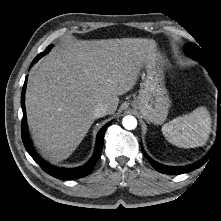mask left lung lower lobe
Segmentation results:
<instances>
[{"label":"left lung lower lobe","mask_w":221,"mask_h":221,"mask_svg":"<svg viewBox=\"0 0 221 221\" xmlns=\"http://www.w3.org/2000/svg\"><path fill=\"white\" fill-rule=\"evenodd\" d=\"M205 68L208 70V72L212 75V77H214V73L212 72V69L211 67L208 65V63L203 60L201 62ZM215 80V78H214ZM216 81H217V78H216ZM217 84H218V81H217ZM218 88H219V84H218ZM219 95L220 97H218V138L221 137V108H220V104H221V92H220V89H219ZM144 155L146 156V158L148 159V161L150 162V164L160 173H164V174H183V173H187V172H190L192 170H195L199 167H201L206 159H207V155L205 158H203L202 160L192 164V165H188V166H184V167H171V166H165V165H162V164H159L157 162H155L153 159H151L144 151H143Z\"/></svg>","instance_id":"1"}]
</instances>
